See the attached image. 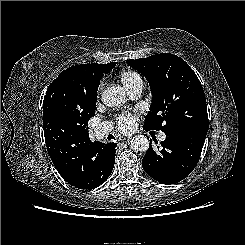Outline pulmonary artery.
Instances as JSON below:
<instances>
[{
	"label": "pulmonary artery",
	"mask_w": 245,
	"mask_h": 245,
	"mask_svg": "<svg viewBox=\"0 0 245 245\" xmlns=\"http://www.w3.org/2000/svg\"><path fill=\"white\" fill-rule=\"evenodd\" d=\"M143 91V82H139L137 85H135L130 91V95L132 98H138L140 97L141 93ZM111 131V126L108 124H101L95 128V135L98 139H101L109 134ZM166 138V135L164 133H160L159 139L164 140Z\"/></svg>",
	"instance_id": "pulmonary-artery-1"
}]
</instances>
